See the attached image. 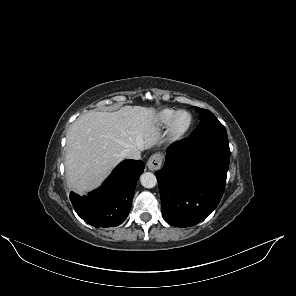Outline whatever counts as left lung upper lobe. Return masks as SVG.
I'll return each instance as SVG.
<instances>
[{"instance_id": "obj_1", "label": "left lung upper lobe", "mask_w": 296, "mask_h": 296, "mask_svg": "<svg viewBox=\"0 0 296 296\" xmlns=\"http://www.w3.org/2000/svg\"><path fill=\"white\" fill-rule=\"evenodd\" d=\"M200 114V123L192 132L190 138H198L215 134H227L225 127L216 119L215 115L206 109L195 107Z\"/></svg>"}]
</instances>
